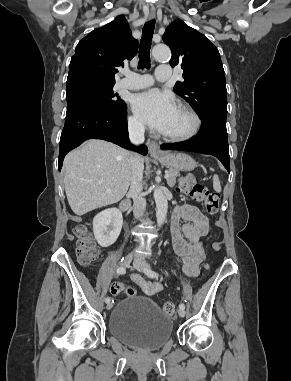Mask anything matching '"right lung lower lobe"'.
<instances>
[{"mask_svg": "<svg viewBox=\"0 0 291 381\" xmlns=\"http://www.w3.org/2000/svg\"><path fill=\"white\" fill-rule=\"evenodd\" d=\"M66 99L67 113L59 146V171L65 155L88 139H102L143 155L148 153L145 145L135 147L129 142L126 106L107 110L99 101L79 90L67 91Z\"/></svg>", "mask_w": 291, "mask_h": 381, "instance_id": "obj_1", "label": "right lung lower lobe"}]
</instances>
